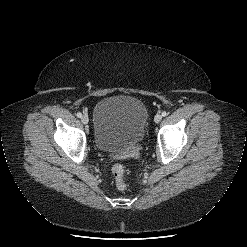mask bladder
I'll return each mask as SVG.
<instances>
[{"instance_id": "bladder-1", "label": "bladder", "mask_w": 247, "mask_h": 247, "mask_svg": "<svg viewBox=\"0 0 247 247\" xmlns=\"http://www.w3.org/2000/svg\"><path fill=\"white\" fill-rule=\"evenodd\" d=\"M148 111L138 98L117 95L100 100L93 112V142L102 152L128 155L145 136Z\"/></svg>"}]
</instances>
